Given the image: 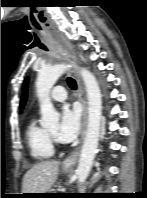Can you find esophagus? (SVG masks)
I'll return each instance as SVG.
<instances>
[{"label":"esophagus","mask_w":147,"mask_h":198,"mask_svg":"<svg viewBox=\"0 0 147 198\" xmlns=\"http://www.w3.org/2000/svg\"><path fill=\"white\" fill-rule=\"evenodd\" d=\"M65 58L73 65H77V57L75 53L72 50H66L65 52ZM76 80L78 83V94H79V99L82 102L83 105V131H82V137L85 134L86 130V125H87V103H86V98L84 94V87L82 84V81L80 79V76L75 72ZM79 154V148L71 153L64 161H63V166L64 167H72L76 164L77 158Z\"/></svg>","instance_id":"esophagus-1"}]
</instances>
